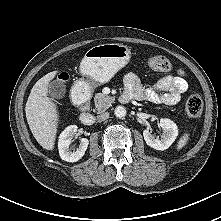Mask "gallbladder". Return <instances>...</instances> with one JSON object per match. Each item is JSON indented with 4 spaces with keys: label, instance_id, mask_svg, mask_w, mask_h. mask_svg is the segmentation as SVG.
<instances>
[{
    "label": "gallbladder",
    "instance_id": "gallbladder-1",
    "mask_svg": "<svg viewBox=\"0 0 221 221\" xmlns=\"http://www.w3.org/2000/svg\"><path fill=\"white\" fill-rule=\"evenodd\" d=\"M66 93V85L61 80H54L50 83V94L55 98H63Z\"/></svg>",
    "mask_w": 221,
    "mask_h": 221
}]
</instances>
